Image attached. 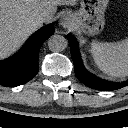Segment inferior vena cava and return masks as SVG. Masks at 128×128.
<instances>
[{
    "instance_id": "inferior-vena-cava-1",
    "label": "inferior vena cava",
    "mask_w": 128,
    "mask_h": 128,
    "mask_svg": "<svg viewBox=\"0 0 128 128\" xmlns=\"http://www.w3.org/2000/svg\"><path fill=\"white\" fill-rule=\"evenodd\" d=\"M38 19L42 22H48L51 19V13L47 9H41L38 13Z\"/></svg>"
}]
</instances>
